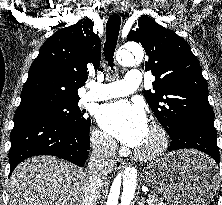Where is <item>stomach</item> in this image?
Segmentation results:
<instances>
[{
	"instance_id": "stomach-1",
	"label": "stomach",
	"mask_w": 222,
	"mask_h": 205,
	"mask_svg": "<svg viewBox=\"0 0 222 205\" xmlns=\"http://www.w3.org/2000/svg\"><path fill=\"white\" fill-rule=\"evenodd\" d=\"M210 158L194 150L165 155L148 166L144 181L163 193L169 205H207L218 189Z\"/></svg>"
}]
</instances>
